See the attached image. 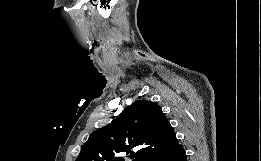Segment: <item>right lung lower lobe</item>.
Masks as SVG:
<instances>
[{"instance_id": "98d812e1", "label": "right lung lower lobe", "mask_w": 261, "mask_h": 161, "mask_svg": "<svg viewBox=\"0 0 261 161\" xmlns=\"http://www.w3.org/2000/svg\"><path fill=\"white\" fill-rule=\"evenodd\" d=\"M147 161H187V158L183 146L178 144L170 150L154 154Z\"/></svg>"}]
</instances>
